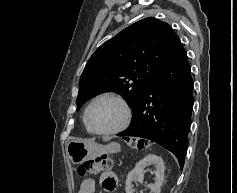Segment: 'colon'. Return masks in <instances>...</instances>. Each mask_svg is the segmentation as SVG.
Returning <instances> with one entry per match:
<instances>
[{"label": "colon", "mask_w": 237, "mask_h": 193, "mask_svg": "<svg viewBox=\"0 0 237 193\" xmlns=\"http://www.w3.org/2000/svg\"><path fill=\"white\" fill-rule=\"evenodd\" d=\"M127 143L134 147H143V142L140 139H127ZM113 168V159L109 155H103L95 160L88 161L79 168V174L85 176L99 171H109Z\"/></svg>", "instance_id": "obj_1"}]
</instances>
